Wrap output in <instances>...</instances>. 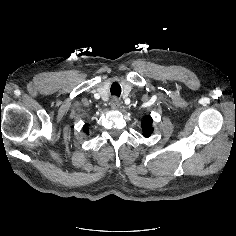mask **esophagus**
Returning <instances> with one entry per match:
<instances>
[{
  "label": "esophagus",
  "instance_id": "34e87169",
  "mask_svg": "<svg viewBox=\"0 0 236 236\" xmlns=\"http://www.w3.org/2000/svg\"><path fill=\"white\" fill-rule=\"evenodd\" d=\"M120 105V101L118 98L114 97L112 100H111V106L112 108L114 109H117Z\"/></svg>",
  "mask_w": 236,
  "mask_h": 236
}]
</instances>
